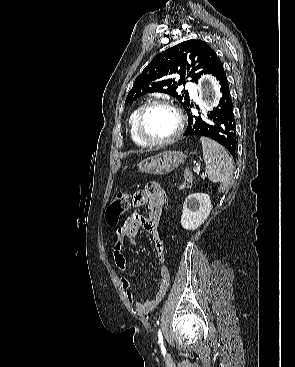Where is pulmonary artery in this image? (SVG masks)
<instances>
[{
    "label": "pulmonary artery",
    "instance_id": "1",
    "mask_svg": "<svg viewBox=\"0 0 295 367\" xmlns=\"http://www.w3.org/2000/svg\"><path fill=\"white\" fill-rule=\"evenodd\" d=\"M186 88H187L188 90H190L191 94H192L194 97L196 96V92H195V89H194V86H193V84H192V83L188 82V83L186 84Z\"/></svg>",
    "mask_w": 295,
    "mask_h": 367
}]
</instances>
